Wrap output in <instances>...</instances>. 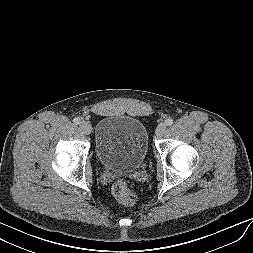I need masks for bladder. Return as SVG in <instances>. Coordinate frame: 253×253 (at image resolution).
<instances>
[{
    "instance_id": "1",
    "label": "bladder",
    "mask_w": 253,
    "mask_h": 253,
    "mask_svg": "<svg viewBox=\"0 0 253 253\" xmlns=\"http://www.w3.org/2000/svg\"><path fill=\"white\" fill-rule=\"evenodd\" d=\"M149 137L145 125L124 115L102 117L95 128V154L108 170L133 171L148 153Z\"/></svg>"
}]
</instances>
